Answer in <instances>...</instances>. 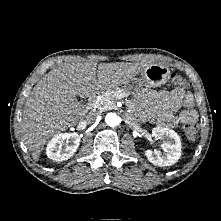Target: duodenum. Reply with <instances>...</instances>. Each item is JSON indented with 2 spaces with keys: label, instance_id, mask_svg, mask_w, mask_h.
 <instances>
[{
  "label": "duodenum",
  "instance_id": "obj_1",
  "mask_svg": "<svg viewBox=\"0 0 221 221\" xmlns=\"http://www.w3.org/2000/svg\"><path fill=\"white\" fill-rule=\"evenodd\" d=\"M95 97H96L95 94L90 95L89 96V101H94Z\"/></svg>",
  "mask_w": 221,
  "mask_h": 221
}]
</instances>
